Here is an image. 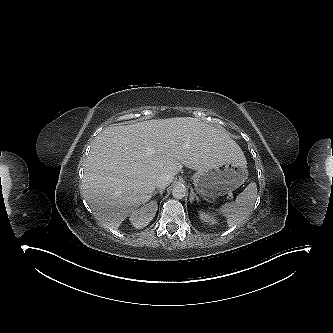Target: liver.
Here are the masks:
<instances>
[{"label":"liver","mask_w":333,"mask_h":333,"mask_svg":"<svg viewBox=\"0 0 333 333\" xmlns=\"http://www.w3.org/2000/svg\"><path fill=\"white\" fill-rule=\"evenodd\" d=\"M240 158L245 159L240 147L225 130L197 118L110 126L91 146L82 193L95 217L117 229L151 199L160 175L174 176L183 165L198 171Z\"/></svg>","instance_id":"liver-1"}]
</instances>
